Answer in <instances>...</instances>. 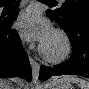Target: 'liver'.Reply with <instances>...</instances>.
Segmentation results:
<instances>
[{
    "mask_svg": "<svg viewBox=\"0 0 89 89\" xmlns=\"http://www.w3.org/2000/svg\"><path fill=\"white\" fill-rule=\"evenodd\" d=\"M1 87H3L2 84H1ZM2 89H7V88H2Z\"/></svg>",
    "mask_w": 89,
    "mask_h": 89,
    "instance_id": "1",
    "label": "liver"
}]
</instances>
